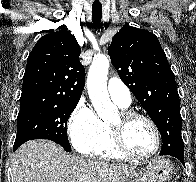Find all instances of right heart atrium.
Returning a JSON list of instances; mask_svg holds the SVG:
<instances>
[{
	"instance_id": "1",
	"label": "right heart atrium",
	"mask_w": 196,
	"mask_h": 182,
	"mask_svg": "<svg viewBox=\"0 0 196 182\" xmlns=\"http://www.w3.org/2000/svg\"><path fill=\"white\" fill-rule=\"evenodd\" d=\"M68 132L74 148L81 154H92L103 137V124L93 108L80 101L68 121Z\"/></svg>"
}]
</instances>
